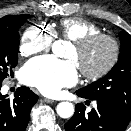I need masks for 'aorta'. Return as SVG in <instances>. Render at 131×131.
<instances>
[{"label":"aorta","mask_w":131,"mask_h":131,"mask_svg":"<svg viewBox=\"0 0 131 131\" xmlns=\"http://www.w3.org/2000/svg\"><path fill=\"white\" fill-rule=\"evenodd\" d=\"M66 41L57 40L52 44V51L58 57H62L65 53ZM57 114L61 118H69L74 114V106L70 102H61L56 108Z\"/></svg>","instance_id":"aorta-1"}]
</instances>
